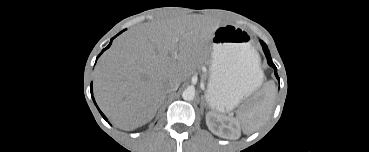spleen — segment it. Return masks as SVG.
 I'll return each instance as SVG.
<instances>
[{
    "instance_id": "3e777b00",
    "label": "spleen",
    "mask_w": 369,
    "mask_h": 152,
    "mask_svg": "<svg viewBox=\"0 0 369 152\" xmlns=\"http://www.w3.org/2000/svg\"><path fill=\"white\" fill-rule=\"evenodd\" d=\"M275 96V84L270 81L255 95L245 109L238 111L236 118L245 133L256 131L269 118Z\"/></svg>"
}]
</instances>
